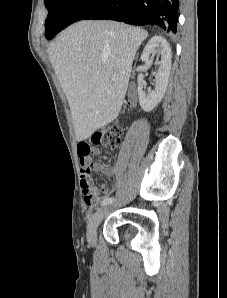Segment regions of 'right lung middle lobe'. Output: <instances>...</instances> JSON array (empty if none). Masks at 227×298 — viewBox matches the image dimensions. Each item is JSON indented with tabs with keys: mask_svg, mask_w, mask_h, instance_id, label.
Listing matches in <instances>:
<instances>
[{
	"mask_svg": "<svg viewBox=\"0 0 227 298\" xmlns=\"http://www.w3.org/2000/svg\"><path fill=\"white\" fill-rule=\"evenodd\" d=\"M102 0H45L48 16L45 22L47 39H50L68 25L82 20Z\"/></svg>",
	"mask_w": 227,
	"mask_h": 298,
	"instance_id": "dd1d6c3e",
	"label": "right lung middle lobe"
}]
</instances>
